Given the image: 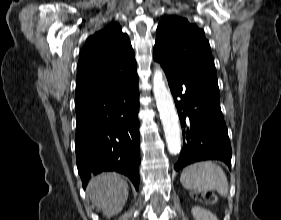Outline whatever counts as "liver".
I'll return each mask as SVG.
<instances>
[{"instance_id":"liver-1","label":"liver","mask_w":281,"mask_h":220,"mask_svg":"<svg viewBox=\"0 0 281 220\" xmlns=\"http://www.w3.org/2000/svg\"><path fill=\"white\" fill-rule=\"evenodd\" d=\"M87 192L92 203L103 212L112 217L124 207L129 194L127 182L114 172L102 173L90 180Z\"/></svg>"}]
</instances>
